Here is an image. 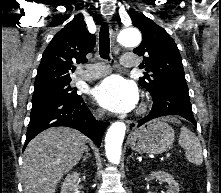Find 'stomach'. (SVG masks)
<instances>
[{
    "mask_svg": "<svg viewBox=\"0 0 221 193\" xmlns=\"http://www.w3.org/2000/svg\"><path fill=\"white\" fill-rule=\"evenodd\" d=\"M174 129L163 119L152 120L130 135V148L138 153L160 154L171 147Z\"/></svg>",
    "mask_w": 221,
    "mask_h": 193,
    "instance_id": "1",
    "label": "stomach"
}]
</instances>
